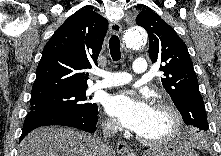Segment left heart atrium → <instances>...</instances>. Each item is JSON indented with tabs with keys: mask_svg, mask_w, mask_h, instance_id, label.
I'll list each match as a JSON object with an SVG mask.
<instances>
[{
	"mask_svg": "<svg viewBox=\"0 0 221 156\" xmlns=\"http://www.w3.org/2000/svg\"><path fill=\"white\" fill-rule=\"evenodd\" d=\"M105 109L121 126L137 134L144 131L154 112L148 99L133 90L107 97Z\"/></svg>",
	"mask_w": 221,
	"mask_h": 156,
	"instance_id": "1",
	"label": "left heart atrium"
}]
</instances>
